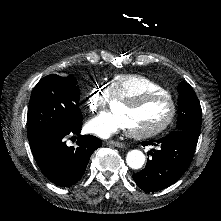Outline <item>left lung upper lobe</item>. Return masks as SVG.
<instances>
[{
    "instance_id": "obj_1",
    "label": "left lung upper lobe",
    "mask_w": 221,
    "mask_h": 221,
    "mask_svg": "<svg viewBox=\"0 0 221 221\" xmlns=\"http://www.w3.org/2000/svg\"><path fill=\"white\" fill-rule=\"evenodd\" d=\"M179 112L176 130L198 139L201 129L202 109L192 87L182 82L178 87Z\"/></svg>"
}]
</instances>
